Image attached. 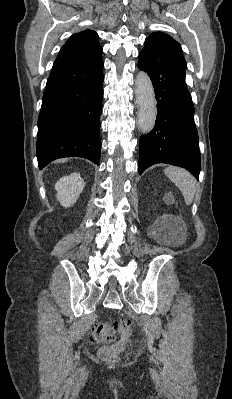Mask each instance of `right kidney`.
<instances>
[{
	"instance_id": "1",
	"label": "right kidney",
	"mask_w": 232,
	"mask_h": 399,
	"mask_svg": "<svg viewBox=\"0 0 232 399\" xmlns=\"http://www.w3.org/2000/svg\"><path fill=\"white\" fill-rule=\"evenodd\" d=\"M84 180L78 172H73L70 176H63L55 184L57 192V200L60 201L64 207H71L72 203L78 200L83 188Z\"/></svg>"
}]
</instances>
